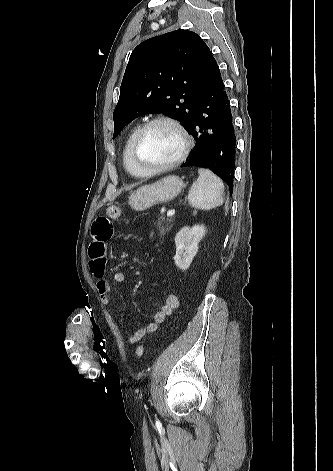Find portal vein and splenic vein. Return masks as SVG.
Listing matches in <instances>:
<instances>
[{"label":"portal vein and splenic vein","instance_id":"portal-vein-and-splenic-vein-1","mask_svg":"<svg viewBox=\"0 0 333 471\" xmlns=\"http://www.w3.org/2000/svg\"><path fill=\"white\" fill-rule=\"evenodd\" d=\"M174 214H175V210H174V209L169 210V211L167 212V216H168V217L173 216Z\"/></svg>","mask_w":333,"mask_h":471}]
</instances>
